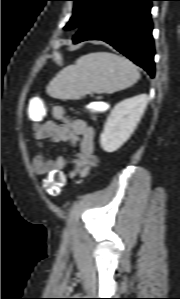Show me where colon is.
<instances>
[{
    "label": "colon",
    "instance_id": "obj_1",
    "mask_svg": "<svg viewBox=\"0 0 180 299\" xmlns=\"http://www.w3.org/2000/svg\"><path fill=\"white\" fill-rule=\"evenodd\" d=\"M31 116L37 117L42 120L46 114V111H37V105H33L29 111ZM65 185V177L61 172H53L46 175L42 180V186L45 191L51 196H57Z\"/></svg>",
    "mask_w": 180,
    "mask_h": 299
}]
</instances>
